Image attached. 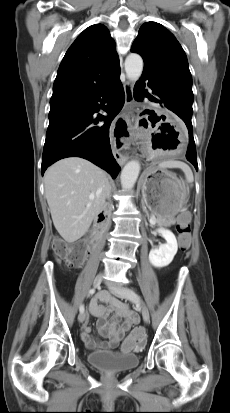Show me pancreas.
<instances>
[{"label": "pancreas", "mask_w": 230, "mask_h": 413, "mask_svg": "<svg viewBox=\"0 0 230 413\" xmlns=\"http://www.w3.org/2000/svg\"><path fill=\"white\" fill-rule=\"evenodd\" d=\"M157 223L160 224V225L169 227L174 223V220L173 219H168V220H165V221H157Z\"/></svg>", "instance_id": "1"}]
</instances>
